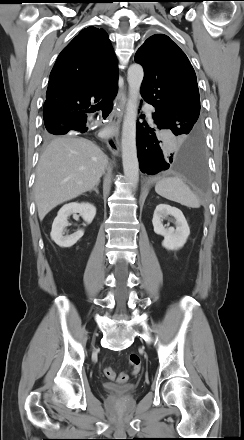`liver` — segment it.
Here are the masks:
<instances>
[{"label":"liver","instance_id":"1","mask_svg":"<svg viewBox=\"0 0 244 440\" xmlns=\"http://www.w3.org/2000/svg\"><path fill=\"white\" fill-rule=\"evenodd\" d=\"M107 164V156L87 139L63 136L51 141L36 169L34 195L40 221L57 205L92 190Z\"/></svg>","mask_w":244,"mask_h":440}]
</instances>
